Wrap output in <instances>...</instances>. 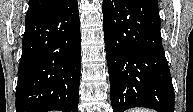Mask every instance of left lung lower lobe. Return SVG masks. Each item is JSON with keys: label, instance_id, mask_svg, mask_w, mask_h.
<instances>
[{"label": "left lung lower lobe", "instance_id": "left-lung-lower-lobe-1", "mask_svg": "<svg viewBox=\"0 0 193 112\" xmlns=\"http://www.w3.org/2000/svg\"><path fill=\"white\" fill-rule=\"evenodd\" d=\"M103 27L113 112H174L157 0H103Z\"/></svg>", "mask_w": 193, "mask_h": 112}]
</instances>
